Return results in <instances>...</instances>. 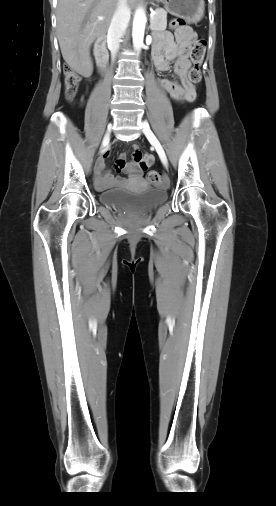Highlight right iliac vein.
Wrapping results in <instances>:
<instances>
[{
  "mask_svg": "<svg viewBox=\"0 0 276 506\" xmlns=\"http://www.w3.org/2000/svg\"><path fill=\"white\" fill-rule=\"evenodd\" d=\"M110 132H111V126L108 127V130L104 136V139H103V142H102V147L105 146L109 140H110Z\"/></svg>",
  "mask_w": 276,
  "mask_h": 506,
  "instance_id": "1",
  "label": "right iliac vein"
}]
</instances>
